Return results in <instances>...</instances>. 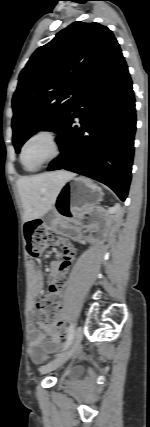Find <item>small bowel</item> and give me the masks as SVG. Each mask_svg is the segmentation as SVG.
<instances>
[{"label": "small bowel", "instance_id": "obj_1", "mask_svg": "<svg viewBox=\"0 0 150 427\" xmlns=\"http://www.w3.org/2000/svg\"><path fill=\"white\" fill-rule=\"evenodd\" d=\"M69 250L72 251L71 249ZM65 256L66 257L63 261H53L50 265V287L54 285L60 277L64 276L63 272L67 269L73 255L68 254ZM30 275L35 291L42 292L44 287V277L42 272L35 265H31ZM61 292L62 290L59 291L60 294ZM42 328L44 332L40 331L35 325H30L28 327V341L31 358L36 363L42 362L45 359L46 354L53 352L60 342L59 334L43 324Z\"/></svg>", "mask_w": 150, "mask_h": 427}]
</instances>
